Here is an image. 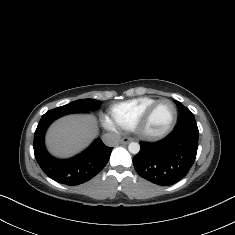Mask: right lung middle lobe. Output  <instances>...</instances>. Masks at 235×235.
<instances>
[{"label":"right lung middle lobe","mask_w":235,"mask_h":235,"mask_svg":"<svg viewBox=\"0 0 235 235\" xmlns=\"http://www.w3.org/2000/svg\"><path fill=\"white\" fill-rule=\"evenodd\" d=\"M101 101L95 99H81L73 101L67 105L53 109L54 112L60 115H66L70 113H81L96 111L99 109Z\"/></svg>","instance_id":"dd1d6c3e"}]
</instances>
